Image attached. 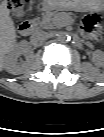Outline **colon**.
Segmentation results:
<instances>
[{"mask_svg": "<svg viewBox=\"0 0 104 137\" xmlns=\"http://www.w3.org/2000/svg\"><path fill=\"white\" fill-rule=\"evenodd\" d=\"M10 10L17 11L22 8L23 0H7ZM83 31L87 36L100 38L101 22L97 14L88 13L83 19Z\"/></svg>", "mask_w": 104, "mask_h": 137, "instance_id": "colon-1", "label": "colon"}]
</instances>
